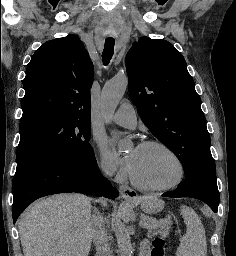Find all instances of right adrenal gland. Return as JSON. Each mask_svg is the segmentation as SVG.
Masks as SVG:
<instances>
[{
	"label": "right adrenal gland",
	"mask_w": 236,
	"mask_h": 256,
	"mask_svg": "<svg viewBox=\"0 0 236 256\" xmlns=\"http://www.w3.org/2000/svg\"><path fill=\"white\" fill-rule=\"evenodd\" d=\"M94 214H99L98 210H96V208H94L93 210Z\"/></svg>",
	"instance_id": "obj_1"
}]
</instances>
